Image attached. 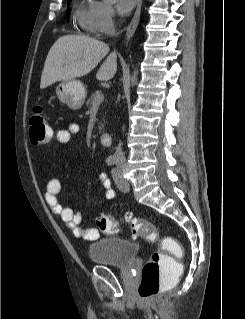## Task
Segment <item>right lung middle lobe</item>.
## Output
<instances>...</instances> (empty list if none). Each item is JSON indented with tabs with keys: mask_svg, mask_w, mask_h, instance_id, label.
Listing matches in <instances>:
<instances>
[{
	"mask_svg": "<svg viewBox=\"0 0 245 319\" xmlns=\"http://www.w3.org/2000/svg\"><path fill=\"white\" fill-rule=\"evenodd\" d=\"M71 0H68V4L70 3Z\"/></svg>",
	"mask_w": 245,
	"mask_h": 319,
	"instance_id": "obj_1",
	"label": "right lung middle lobe"
}]
</instances>
